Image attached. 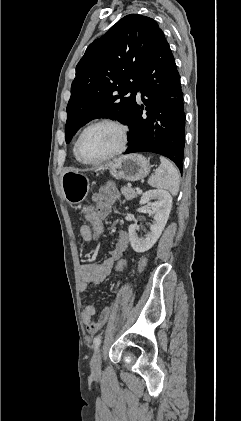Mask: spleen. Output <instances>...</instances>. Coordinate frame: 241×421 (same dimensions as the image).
<instances>
[{"label": "spleen", "instance_id": "3e777b00", "mask_svg": "<svg viewBox=\"0 0 241 421\" xmlns=\"http://www.w3.org/2000/svg\"><path fill=\"white\" fill-rule=\"evenodd\" d=\"M161 164L149 178L148 184L154 188L166 189L173 196L179 192V174L175 166L166 158L160 157Z\"/></svg>", "mask_w": 241, "mask_h": 421}]
</instances>
